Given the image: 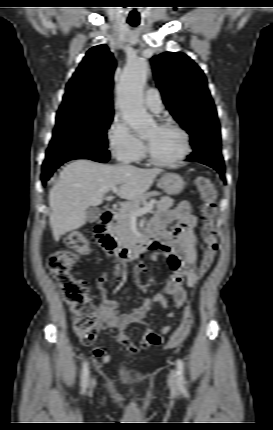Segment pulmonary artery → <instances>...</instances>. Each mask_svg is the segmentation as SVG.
I'll return each mask as SVG.
<instances>
[{
  "label": "pulmonary artery",
  "instance_id": "e3ab8cb5",
  "mask_svg": "<svg viewBox=\"0 0 273 430\" xmlns=\"http://www.w3.org/2000/svg\"><path fill=\"white\" fill-rule=\"evenodd\" d=\"M145 105L150 111L154 113H159L162 111L163 103L160 97V93L156 88H149L146 91Z\"/></svg>",
  "mask_w": 273,
  "mask_h": 430
}]
</instances>
